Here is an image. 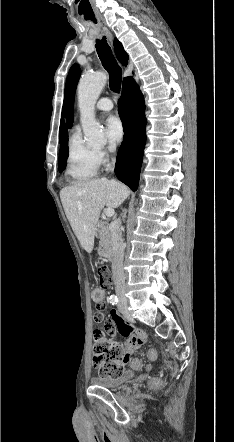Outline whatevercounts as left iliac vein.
<instances>
[{
	"label": "left iliac vein",
	"mask_w": 234,
	"mask_h": 442,
	"mask_svg": "<svg viewBox=\"0 0 234 442\" xmlns=\"http://www.w3.org/2000/svg\"><path fill=\"white\" fill-rule=\"evenodd\" d=\"M119 310L122 312V306H121V304L119 305Z\"/></svg>",
	"instance_id": "obj_1"
}]
</instances>
